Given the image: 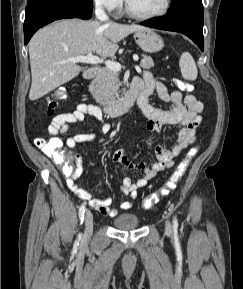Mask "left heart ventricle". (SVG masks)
Listing matches in <instances>:
<instances>
[{
  "label": "left heart ventricle",
  "mask_w": 243,
  "mask_h": 289,
  "mask_svg": "<svg viewBox=\"0 0 243 289\" xmlns=\"http://www.w3.org/2000/svg\"><path fill=\"white\" fill-rule=\"evenodd\" d=\"M130 8L139 14H151L159 11L164 0H127Z\"/></svg>",
  "instance_id": "obj_1"
}]
</instances>
